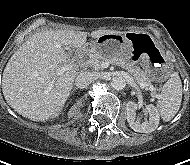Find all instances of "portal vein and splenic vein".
Here are the masks:
<instances>
[{"instance_id":"1","label":"portal vein and splenic vein","mask_w":190,"mask_h":165,"mask_svg":"<svg viewBox=\"0 0 190 165\" xmlns=\"http://www.w3.org/2000/svg\"><path fill=\"white\" fill-rule=\"evenodd\" d=\"M109 64H110L109 62H103V63H102V68H107V67L109 66ZM73 65H74V62L72 61V63L66 64V65L62 66L61 68H59L58 74H59V75L63 74L65 71H67V70H68L69 68H71ZM147 85H148V84H141V87H145V86H147ZM149 89H150L151 91H154V90H155L152 85L149 86Z\"/></svg>"}]
</instances>
